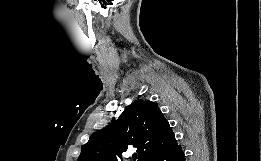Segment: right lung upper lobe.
Segmentation results:
<instances>
[{
  "label": "right lung upper lobe",
  "instance_id": "obj_1",
  "mask_svg": "<svg viewBox=\"0 0 261 161\" xmlns=\"http://www.w3.org/2000/svg\"><path fill=\"white\" fill-rule=\"evenodd\" d=\"M168 121L159 107L138 99L127 106L119 118L93 133L82 145L77 161H118L128 148H137L138 161L176 145Z\"/></svg>",
  "mask_w": 261,
  "mask_h": 161
}]
</instances>
